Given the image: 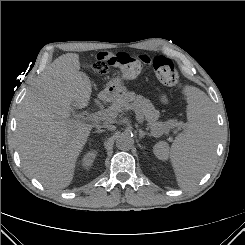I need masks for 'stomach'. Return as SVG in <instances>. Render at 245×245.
Segmentation results:
<instances>
[{
  "mask_svg": "<svg viewBox=\"0 0 245 245\" xmlns=\"http://www.w3.org/2000/svg\"><path fill=\"white\" fill-rule=\"evenodd\" d=\"M126 87L123 80L120 77L110 80L103 91V95L107 100H115L120 96V93H124Z\"/></svg>",
  "mask_w": 245,
  "mask_h": 245,
  "instance_id": "stomach-1",
  "label": "stomach"
}]
</instances>
